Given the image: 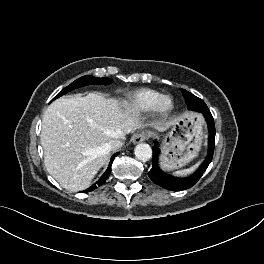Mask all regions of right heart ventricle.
<instances>
[{"label":"right heart ventricle","mask_w":264,"mask_h":264,"mask_svg":"<svg viewBox=\"0 0 264 264\" xmlns=\"http://www.w3.org/2000/svg\"><path fill=\"white\" fill-rule=\"evenodd\" d=\"M162 93L152 89H142L130 95L126 107L133 113H146L153 110Z\"/></svg>","instance_id":"obj_1"}]
</instances>
